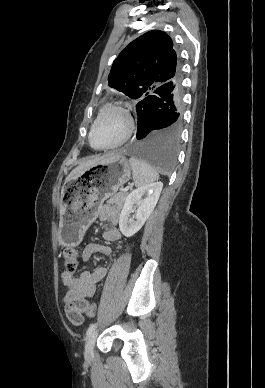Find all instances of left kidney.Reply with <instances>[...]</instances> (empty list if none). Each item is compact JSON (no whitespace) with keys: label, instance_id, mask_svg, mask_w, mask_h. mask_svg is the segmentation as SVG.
Returning a JSON list of instances; mask_svg holds the SVG:
<instances>
[{"label":"left kidney","instance_id":"1","mask_svg":"<svg viewBox=\"0 0 265 388\" xmlns=\"http://www.w3.org/2000/svg\"><path fill=\"white\" fill-rule=\"evenodd\" d=\"M162 188V182H156V184H148V186L137 188V190H133L131 194L126 196L119 220L120 232L123 236L131 238L141 230L146 220L151 216L160 198ZM133 204H137V210H132ZM131 212H136L133 218H129Z\"/></svg>","mask_w":265,"mask_h":388}]
</instances>
